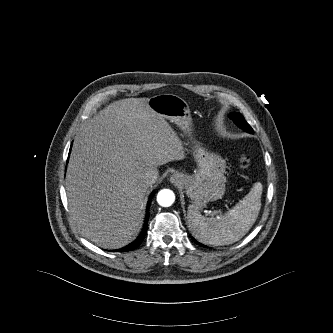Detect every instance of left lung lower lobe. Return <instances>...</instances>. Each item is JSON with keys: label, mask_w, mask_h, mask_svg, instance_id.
<instances>
[{"label": "left lung lower lobe", "mask_w": 333, "mask_h": 333, "mask_svg": "<svg viewBox=\"0 0 333 333\" xmlns=\"http://www.w3.org/2000/svg\"><path fill=\"white\" fill-rule=\"evenodd\" d=\"M195 241V240H194ZM197 244H199V245H201V246H203L202 244H200L199 242H197V241H195Z\"/></svg>", "instance_id": "1"}]
</instances>
